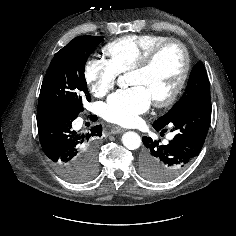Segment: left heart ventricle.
<instances>
[{
  "instance_id": "left-heart-ventricle-1",
  "label": "left heart ventricle",
  "mask_w": 236,
  "mask_h": 236,
  "mask_svg": "<svg viewBox=\"0 0 236 236\" xmlns=\"http://www.w3.org/2000/svg\"><path fill=\"white\" fill-rule=\"evenodd\" d=\"M183 67V54L176 45L165 48L150 68L142 72H132L129 83L142 86L152 100L166 97L174 88Z\"/></svg>"
}]
</instances>
